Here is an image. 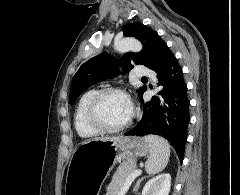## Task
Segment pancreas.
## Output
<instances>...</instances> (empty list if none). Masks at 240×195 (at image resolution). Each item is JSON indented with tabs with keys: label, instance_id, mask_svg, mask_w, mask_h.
I'll use <instances>...</instances> for the list:
<instances>
[{
	"label": "pancreas",
	"instance_id": "obj_1",
	"mask_svg": "<svg viewBox=\"0 0 240 195\" xmlns=\"http://www.w3.org/2000/svg\"><path fill=\"white\" fill-rule=\"evenodd\" d=\"M136 163L137 159H132V157L131 159H124V161L120 163L113 175L112 181H110L106 187L108 195H117V193L122 191L127 177L137 169Z\"/></svg>",
	"mask_w": 240,
	"mask_h": 195
}]
</instances>
